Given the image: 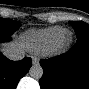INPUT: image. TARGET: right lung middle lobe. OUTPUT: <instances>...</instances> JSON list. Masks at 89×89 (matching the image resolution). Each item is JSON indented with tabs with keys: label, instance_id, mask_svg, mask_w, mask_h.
<instances>
[{
	"label": "right lung middle lobe",
	"instance_id": "dd1d6c3e",
	"mask_svg": "<svg viewBox=\"0 0 89 89\" xmlns=\"http://www.w3.org/2000/svg\"><path fill=\"white\" fill-rule=\"evenodd\" d=\"M20 27L18 21L0 18V37L13 34Z\"/></svg>",
	"mask_w": 89,
	"mask_h": 89
}]
</instances>
